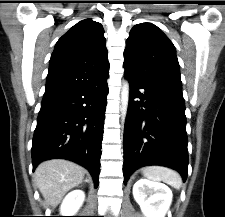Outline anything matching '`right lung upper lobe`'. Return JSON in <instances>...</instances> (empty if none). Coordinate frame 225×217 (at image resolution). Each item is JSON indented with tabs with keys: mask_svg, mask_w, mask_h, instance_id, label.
<instances>
[{
	"mask_svg": "<svg viewBox=\"0 0 225 217\" xmlns=\"http://www.w3.org/2000/svg\"><path fill=\"white\" fill-rule=\"evenodd\" d=\"M104 30L91 19L78 22L56 43L44 95L98 84L109 77Z\"/></svg>",
	"mask_w": 225,
	"mask_h": 217,
	"instance_id": "right-lung-upper-lobe-1",
	"label": "right lung upper lobe"
}]
</instances>
